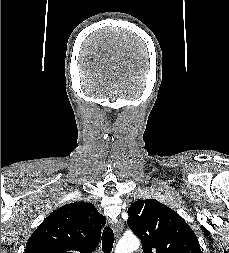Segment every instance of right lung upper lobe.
<instances>
[{"instance_id": "cb5924a9", "label": "right lung upper lobe", "mask_w": 229, "mask_h": 253, "mask_svg": "<svg viewBox=\"0 0 229 253\" xmlns=\"http://www.w3.org/2000/svg\"><path fill=\"white\" fill-rule=\"evenodd\" d=\"M104 225L105 217L92 203L64 205L32 233L24 253H92Z\"/></svg>"}]
</instances>
